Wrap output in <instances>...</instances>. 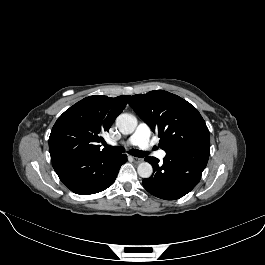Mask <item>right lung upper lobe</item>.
<instances>
[{
  "mask_svg": "<svg viewBox=\"0 0 265 265\" xmlns=\"http://www.w3.org/2000/svg\"><path fill=\"white\" fill-rule=\"evenodd\" d=\"M129 95L110 98L93 95L67 109L56 121L49 137L51 161L110 153L100 150L102 134L109 131L123 111Z\"/></svg>",
  "mask_w": 265,
  "mask_h": 265,
  "instance_id": "1",
  "label": "right lung upper lobe"
}]
</instances>
